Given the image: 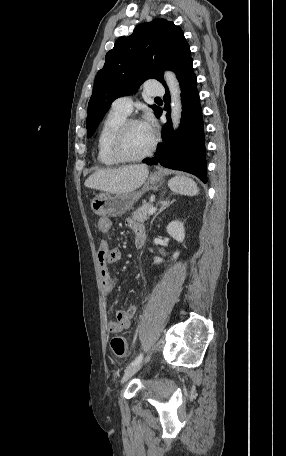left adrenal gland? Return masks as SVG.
Segmentation results:
<instances>
[{
    "label": "left adrenal gland",
    "mask_w": 286,
    "mask_h": 456,
    "mask_svg": "<svg viewBox=\"0 0 286 456\" xmlns=\"http://www.w3.org/2000/svg\"><path fill=\"white\" fill-rule=\"evenodd\" d=\"M175 200L173 199L172 201H170L169 199H166V200H160L159 203L161 204V207L160 209L158 210V212L154 215L152 221H151V224H153L155 218L164 210L166 209L167 207H169Z\"/></svg>",
    "instance_id": "1"
}]
</instances>
